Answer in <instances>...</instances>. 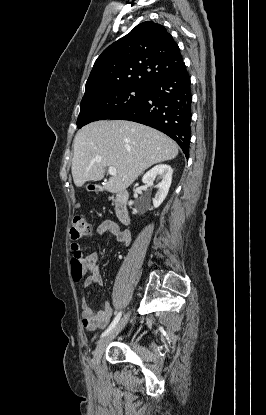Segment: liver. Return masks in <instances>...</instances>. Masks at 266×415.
<instances>
[{
  "label": "liver",
  "instance_id": "1",
  "mask_svg": "<svg viewBox=\"0 0 266 415\" xmlns=\"http://www.w3.org/2000/svg\"><path fill=\"white\" fill-rule=\"evenodd\" d=\"M72 176L81 187L100 181L108 167L116 168L105 189L117 193L128 188L154 164L174 159L177 144L151 127L124 120H100L82 127L74 138Z\"/></svg>",
  "mask_w": 266,
  "mask_h": 415
}]
</instances>
